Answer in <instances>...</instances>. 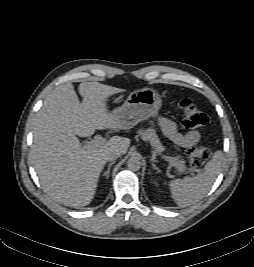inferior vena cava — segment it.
I'll return each mask as SVG.
<instances>
[{
  "label": "inferior vena cava",
  "instance_id": "obj_1",
  "mask_svg": "<svg viewBox=\"0 0 254 267\" xmlns=\"http://www.w3.org/2000/svg\"><path fill=\"white\" fill-rule=\"evenodd\" d=\"M118 157H120V152L118 151H112L108 154L107 160L108 161H113L116 160Z\"/></svg>",
  "mask_w": 254,
  "mask_h": 267
}]
</instances>
